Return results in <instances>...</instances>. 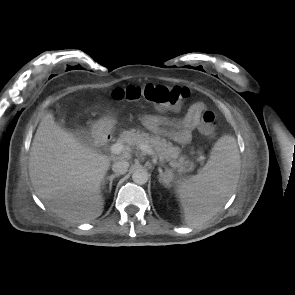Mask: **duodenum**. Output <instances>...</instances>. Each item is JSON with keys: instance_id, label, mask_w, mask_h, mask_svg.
Segmentation results:
<instances>
[{"instance_id": "410a0bca", "label": "duodenum", "mask_w": 295, "mask_h": 295, "mask_svg": "<svg viewBox=\"0 0 295 295\" xmlns=\"http://www.w3.org/2000/svg\"><path fill=\"white\" fill-rule=\"evenodd\" d=\"M110 139V136L106 133H100L96 137V141L98 145L102 146L105 145Z\"/></svg>"}]
</instances>
